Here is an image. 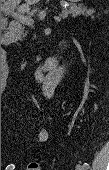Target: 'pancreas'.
Segmentation results:
<instances>
[{"mask_svg":"<svg viewBox=\"0 0 109 170\" xmlns=\"http://www.w3.org/2000/svg\"><path fill=\"white\" fill-rule=\"evenodd\" d=\"M94 10L92 9H87L85 7L82 6H77V5H71L68 9L67 8H63L62 12H61V16L62 15H72V17H76V16H91L92 18H94L93 16Z\"/></svg>","mask_w":109,"mask_h":170,"instance_id":"1","label":"pancreas"}]
</instances>
